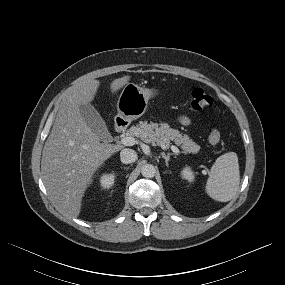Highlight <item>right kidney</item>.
Returning <instances> with one entry per match:
<instances>
[{
    "label": "right kidney",
    "instance_id": "1",
    "mask_svg": "<svg viewBox=\"0 0 285 285\" xmlns=\"http://www.w3.org/2000/svg\"><path fill=\"white\" fill-rule=\"evenodd\" d=\"M114 180H115L114 173L104 174L100 178V185L105 189L110 188L114 184Z\"/></svg>",
    "mask_w": 285,
    "mask_h": 285
}]
</instances>
